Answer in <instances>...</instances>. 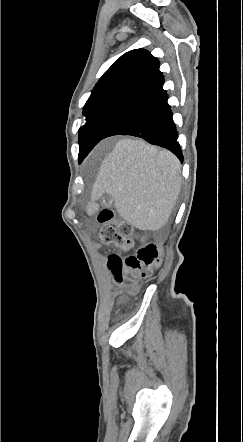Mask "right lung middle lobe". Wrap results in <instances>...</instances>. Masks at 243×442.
I'll return each instance as SVG.
<instances>
[{"instance_id":"obj_1","label":"right lung middle lobe","mask_w":243,"mask_h":442,"mask_svg":"<svg viewBox=\"0 0 243 442\" xmlns=\"http://www.w3.org/2000/svg\"><path fill=\"white\" fill-rule=\"evenodd\" d=\"M126 95L110 94L87 100L83 115L85 123L79 129V158L85 153L95 129L106 114Z\"/></svg>"}]
</instances>
